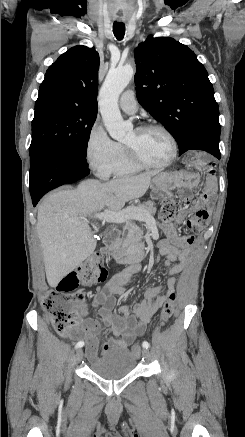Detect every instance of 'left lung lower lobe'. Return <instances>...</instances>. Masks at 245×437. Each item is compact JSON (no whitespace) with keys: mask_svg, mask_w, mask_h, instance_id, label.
I'll use <instances>...</instances> for the list:
<instances>
[{"mask_svg":"<svg viewBox=\"0 0 245 437\" xmlns=\"http://www.w3.org/2000/svg\"><path fill=\"white\" fill-rule=\"evenodd\" d=\"M189 149L204 150L220 159L219 142H215L211 139L198 140L194 142Z\"/></svg>","mask_w":245,"mask_h":437,"instance_id":"left-lung-lower-lobe-1","label":"left lung lower lobe"}]
</instances>
